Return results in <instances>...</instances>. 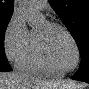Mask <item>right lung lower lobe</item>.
I'll return each instance as SVG.
<instances>
[{
  "mask_svg": "<svg viewBox=\"0 0 89 89\" xmlns=\"http://www.w3.org/2000/svg\"><path fill=\"white\" fill-rule=\"evenodd\" d=\"M12 68L11 66L9 65L8 61H7V58L6 60H0V71H11Z\"/></svg>",
  "mask_w": 89,
  "mask_h": 89,
  "instance_id": "right-lung-lower-lobe-1",
  "label": "right lung lower lobe"
}]
</instances>
